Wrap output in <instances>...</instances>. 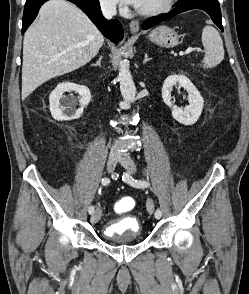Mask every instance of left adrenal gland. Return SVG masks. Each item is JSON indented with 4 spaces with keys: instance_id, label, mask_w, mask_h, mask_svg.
Returning a JSON list of instances; mask_svg holds the SVG:
<instances>
[{
    "instance_id": "1",
    "label": "left adrenal gland",
    "mask_w": 249,
    "mask_h": 294,
    "mask_svg": "<svg viewBox=\"0 0 249 294\" xmlns=\"http://www.w3.org/2000/svg\"><path fill=\"white\" fill-rule=\"evenodd\" d=\"M144 57H145V58H144L143 64H145L147 61H149V60L151 59V58H148L147 53L145 54Z\"/></svg>"
}]
</instances>
